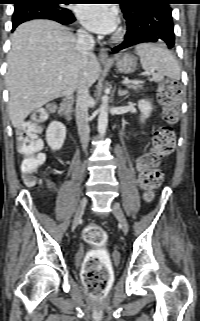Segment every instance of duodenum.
Segmentation results:
<instances>
[{"label": "duodenum", "instance_id": "1", "mask_svg": "<svg viewBox=\"0 0 200 321\" xmlns=\"http://www.w3.org/2000/svg\"><path fill=\"white\" fill-rule=\"evenodd\" d=\"M71 105H72V98L71 97L64 98L60 104V113L66 119L69 118Z\"/></svg>", "mask_w": 200, "mask_h": 321}]
</instances>
